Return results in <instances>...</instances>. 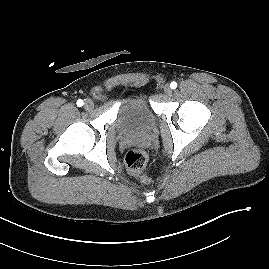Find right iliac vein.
Instances as JSON below:
<instances>
[{
  "instance_id": "63e3f726",
  "label": "right iliac vein",
  "mask_w": 269,
  "mask_h": 269,
  "mask_svg": "<svg viewBox=\"0 0 269 269\" xmlns=\"http://www.w3.org/2000/svg\"><path fill=\"white\" fill-rule=\"evenodd\" d=\"M84 108L86 110H92L94 108V102L90 99H87L84 103Z\"/></svg>"
}]
</instances>
